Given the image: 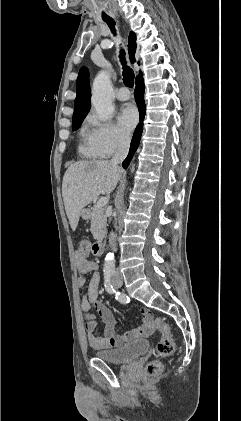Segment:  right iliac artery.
<instances>
[{
    "label": "right iliac artery",
    "instance_id": "right-iliac-artery-1",
    "mask_svg": "<svg viewBox=\"0 0 241 421\" xmlns=\"http://www.w3.org/2000/svg\"><path fill=\"white\" fill-rule=\"evenodd\" d=\"M113 272L111 270H107L104 273V286L106 291L109 294H114L115 295V299L118 300L120 303L122 304H126L129 302V297L126 294L120 293L119 291H116L112 284H111V276H112Z\"/></svg>",
    "mask_w": 241,
    "mask_h": 421
}]
</instances>
